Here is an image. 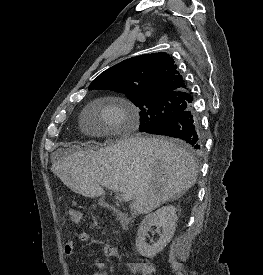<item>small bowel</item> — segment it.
Returning <instances> with one entry per match:
<instances>
[{
    "mask_svg": "<svg viewBox=\"0 0 263 275\" xmlns=\"http://www.w3.org/2000/svg\"><path fill=\"white\" fill-rule=\"evenodd\" d=\"M90 240H92V236L87 232H76V233H74L72 238L70 240H68L66 242V244L64 245L63 250H64L65 255L66 256H71L74 253L76 241L88 242ZM103 253H104L105 257L111 258L115 255V250L111 245L105 244L104 247H103ZM94 266L98 270L94 271V272H88L87 275H109V272L106 268L105 263L100 262V261H96L94 263ZM130 270L133 273H135L139 270V266L130 265Z\"/></svg>",
    "mask_w": 263,
    "mask_h": 275,
    "instance_id": "1",
    "label": "small bowel"
}]
</instances>
